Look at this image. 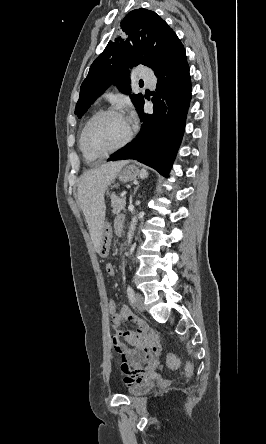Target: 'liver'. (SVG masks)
Returning <instances> with one entry per match:
<instances>
[{"instance_id": "obj_1", "label": "liver", "mask_w": 266, "mask_h": 444, "mask_svg": "<svg viewBox=\"0 0 266 444\" xmlns=\"http://www.w3.org/2000/svg\"><path fill=\"white\" fill-rule=\"evenodd\" d=\"M128 160L110 162L83 174L78 185V202L88 224L91 240L99 252L105 220L104 195Z\"/></svg>"}]
</instances>
